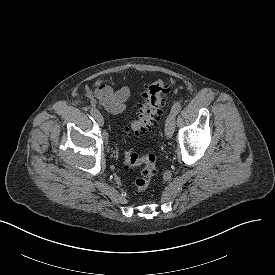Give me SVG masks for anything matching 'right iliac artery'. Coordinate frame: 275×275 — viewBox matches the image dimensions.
<instances>
[{
  "instance_id": "82829eb1",
  "label": "right iliac artery",
  "mask_w": 275,
  "mask_h": 275,
  "mask_svg": "<svg viewBox=\"0 0 275 275\" xmlns=\"http://www.w3.org/2000/svg\"><path fill=\"white\" fill-rule=\"evenodd\" d=\"M97 113H98V110H97V109H95V108H91V110H90V114H91V116H92L93 118H95V117H96Z\"/></svg>"
}]
</instances>
